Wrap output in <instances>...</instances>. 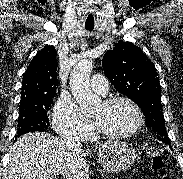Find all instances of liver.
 Segmentation results:
<instances>
[{
  "label": "liver",
  "mask_w": 183,
  "mask_h": 179,
  "mask_svg": "<svg viewBox=\"0 0 183 179\" xmlns=\"http://www.w3.org/2000/svg\"><path fill=\"white\" fill-rule=\"evenodd\" d=\"M85 150H68L64 142L45 132L20 137L9 154L3 179H50L61 174L66 179H89Z\"/></svg>",
  "instance_id": "liver-1"
}]
</instances>
